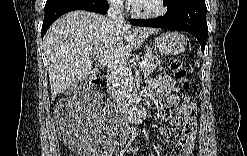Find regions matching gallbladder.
<instances>
[{
  "mask_svg": "<svg viewBox=\"0 0 247 156\" xmlns=\"http://www.w3.org/2000/svg\"><path fill=\"white\" fill-rule=\"evenodd\" d=\"M93 73L95 74L96 73V70H93ZM87 78L83 79L82 81H80V83L86 81ZM78 84H75V85H72L69 89L66 90V92H71V91H74L76 88H77Z\"/></svg>",
  "mask_w": 247,
  "mask_h": 156,
  "instance_id": "obj_1",
  "label": "gallbladder"
}]
</instances>
